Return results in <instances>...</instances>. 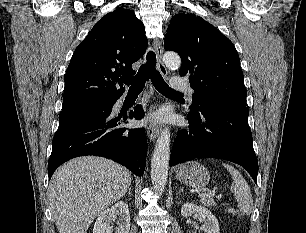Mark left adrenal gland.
Here are the masks:
<instances>
[{"label": "left adrenal gland", "mask_w": 306, "mask_h": 233, "mask_svg": "<svg viewBox=\"0 0 306 233\" xmlns=\"http://www.w3.org/2000/svg\"><path fill=\"white\" fill-rule=\"evenodd\" d=\"M183 192V187L180 188L179 193Z\"/></svg>", "instance_id": "left-adrenal-gland-1"}]
</instances>
